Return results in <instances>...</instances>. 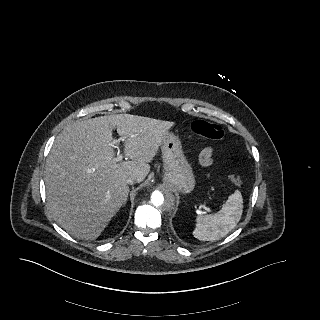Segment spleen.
<instances>
[{
	"mask_svg": "<svg viewBox=\"0 0 320 320\" xmlns=\"http://www.w3.org/2000/svg\"><path fill=\"white\" fill-rule=\"evenodd\" d=\"M243 212V198L240 191L231 194L225 204L215 214L196 217L193 230L195 238L214 241L226 236L240 221Z\"/></svg>",
	"mask_w": 320,
	"mask_h": 320,
	"instance_id": "obj_1",
	"label": "spleen"
}]
</instances>
